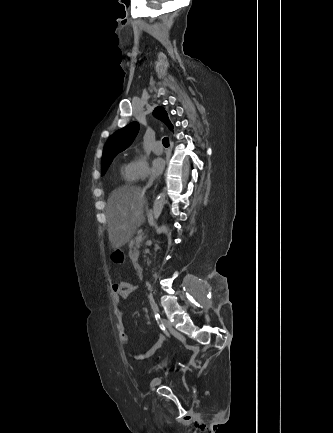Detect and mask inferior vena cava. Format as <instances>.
Listing matches in <instances>:
<instances>
[{"instance_id":"1","label":"inferior vena cava","mask_w":333,"mask_h":433,"mask_svg":"<svg viewBox=\"0 0 333 433\" xmlns=\"http://www.w3.org/2000/svg\"><path fill=\"white\" fill-rule=\"evenodd\" d=\"M153 182H154V177L152 175H150V178H149V181L147 183L146 188L151 187L153 185Z\"/></svg>"}]
</instances>
